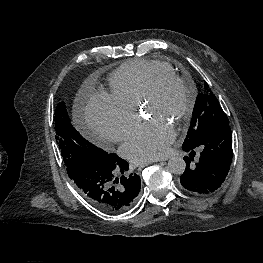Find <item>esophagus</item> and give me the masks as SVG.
Masks as SVG:
<instances>
[{"label": "esophagus", "mask_w": 263, "mask_h": 263, "mask_svg": "<svg viewBox=\"0 0 263 263\" xmlns=\"http://www.w3.org/2000/svg\"><path fill=\"white\" fill-rule=\"evenodd\" d=\"M159 161H163V160H159ZM150 163H143L139 165V169L144 168L145 166L149 165Z\"/></svg>", "instance_id": "1"}]
</instances>
